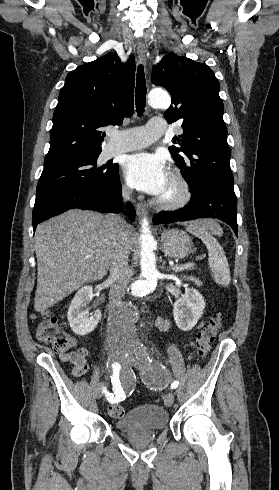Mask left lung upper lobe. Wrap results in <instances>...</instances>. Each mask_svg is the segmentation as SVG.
<instances>
[{"label": "left lung upper lobe", "mask_w": 279, "mask_h": 490, "mask_svg": "<svg viewBox=\"0 0 279 490\" xmlns=\"http://www.w3.org/2000/svg\"><path fill=\"white\" fill-rule=\"evenodd\" d=\"M152 83L172 96L173 104L164 113L168 122L183 121V134L173 138L181 147L171 146L169 151L190 190L206 178L233 184L224 107L214 72L206 64L169 53L153 68Z\"/></svg>", "instance_id": "5c2ea615"}]
</instances>
